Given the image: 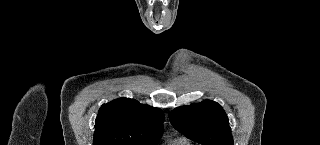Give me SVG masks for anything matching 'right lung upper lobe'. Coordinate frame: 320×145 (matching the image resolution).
<instances>
[{"label": "right lung upper lobe", "instance_id": "cb5924a9", "mask_svg": "<svg viewBox=\"0 0 320 145\" xmlns=\"http://www.w3.org/2000/svg\"><path fill=\"white\" fill-rule=\"evenodd\" d=\"M164 113L129 98L100 107L93 145H154L162 137Z\"/></svg>", "mask_w": 320, "mask_h": 145}]
</instances>
